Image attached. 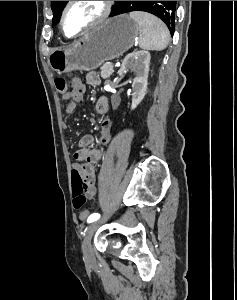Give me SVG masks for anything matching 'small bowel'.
<instances>
[{
	"label": "small bowel",
	"instance_id": "obj_1",
	"mask_svg": "<svg viewBox=\"0 0 237 300\" xmlns=\"http://www.w3.org/2000/svg\"><path fill=\"white\" fill-rule=\"evenodd\" d=\"M86 82L91 86H97L100 83V77L95 72H90L86 75ZM83 85L79 78L72 80V88H78ZM66 101V113H72L78 101L70 98L69 95H63ZM96 112L99 115H106L109 110V101L106 97H100L95 104ZM112 138V121L109 118H103L100 124L99 141L102 144H107ZM94 144V137L90 134L82 136L78 142V150L74 153V159L80 163L74 164L73 169H77L83 179L84 195L87 199H91L96 193L95 173L93 164L101 157V149L99 147L91 148ZM81 218H85L86 214L82 212Z\"/></svg>",
	"mask_w": 237,
	"mask_h": 300
}]
</instances>
